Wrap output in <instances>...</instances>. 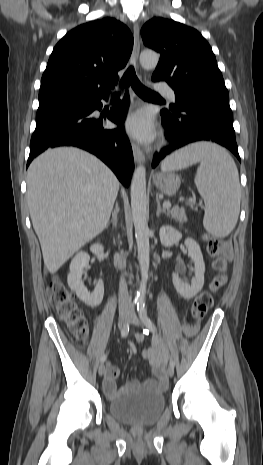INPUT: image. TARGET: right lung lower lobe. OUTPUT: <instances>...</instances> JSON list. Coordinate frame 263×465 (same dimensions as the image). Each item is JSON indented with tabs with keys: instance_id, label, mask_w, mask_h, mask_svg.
<instances>
[{
	"instance_id": "1",
	"label": "right lung lower lobe",
	"mask_w": 263,
	"mask_h": 465,
	"mask_svg": "<svg viewBox=\"0 0 263 465\" xmlns=\"http://www.w3.org/2000/svg\"><path fill=\"white\" fill-rule=\"evenodd\" d=\"M108 97L109 93L90 95L77 103L37 111L27 166L48 148L76 146L100 158L127 187L134 169L132 148L123 127L129 96L127 92L108 114V119L118 124L114 130L104 129V121L92 115L102 108L100 100Z\"/></svg>"
}]
</instances>
